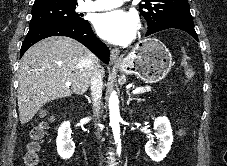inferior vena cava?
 <instances>
[{
    "label": "inferior vena cava",
    "mask_w": 227,
    "mask_h": 166,
    "mask_svg": "<svg viewBox=\"0 0 227 166\" xmlns=\"http://www.w3.org/2000/svg\"><path fill=\"white\" fill-rule=\"evenodd\" d=\"M104 70L98 65L91 77V95H92V105L95 114H99L101 97H102V87H103V78Z\"/></svg>",
    "instance_id": "inferior-vena-cava-1"
}]
</instances>
